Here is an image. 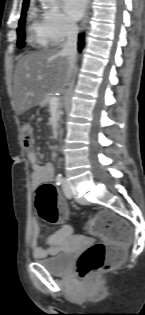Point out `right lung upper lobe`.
I'll return each instance as SVG.
<instances>
[{
    "mask_svg": "<svg viewBox=\"0 0 145 315\" xmlns=\"http://www.w3.org/2000/svg\"><path fill=\"white\" fill-rule=\"evenodd\" d=\"M29 0H24L23 1V7L28 6Z\"/></svg>",
    "mask_w": 145,
    "mask_h": 315,
    "instance_id": "obj_1",
    "label": "right lung upper lobe"
}]
</instances>
